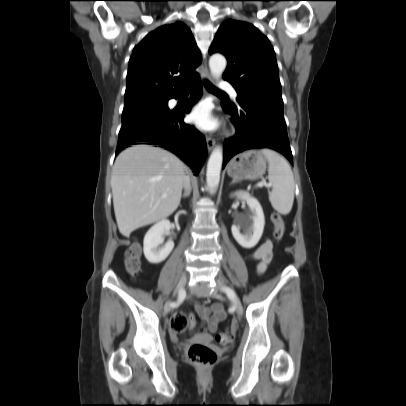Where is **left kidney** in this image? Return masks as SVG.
<instances>
[{
  "label": "left kidney",
  "mask_w": 406,
  "mask_h": 406,
  "mask_svg": "<svg viewBox=\"0 0 406 406\" xmlns=\"http://www.w3.org/2000/svg\"><path fill=\"white\" fill-rule=\"evenodd\" d=\"M232 196L245 200L250 208L252 215L244 219L238 225H232L231 231L233 237L243 248L251 249L259 242L265 225L263 209L257 199L250 196L247 192L238 191ZM244 228V233L240 232Z\"/></svg>",
  "instance_id": "5707ae66"
}]
</instances>
